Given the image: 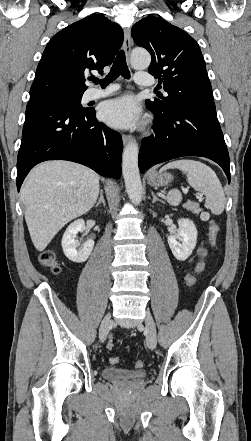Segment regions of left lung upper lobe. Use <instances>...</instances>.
I'll use <instances>...</instances> for the list:
<instances>
[{"label": "left lung upper lobe", "mask_w": 251, "mask_h": 441, "mask_svg": "<svg viewBox=\"0 0 251 441\" xmlns=\"http://www.w3.org/2000/svg\"><path fill=\"white\" fill-rule=\"evenodd\" d=\"M131 35L151 56L148 72L163 82L168 96L146 100L157 113L198 101L214 102L205 61L198 43L164 19L148 16L137 22Z\"/></svg>", "instance_id": "5c2ea615"}]
</instances>
